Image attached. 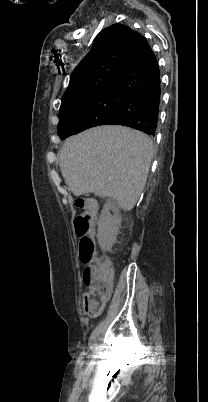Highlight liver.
Instances as JSON below:
<instances>
[{
    "label": "liver",
    "mask_w": 208,
    "mask_h": 402,
    "mask_svg": "<svg viewBox=\"0 0 208 402\" xmlns=\"http://www.w3.org/2000/svg\"><path fill=\"white\" fill-rule=\"evenodd\" d=\"M60 170L74 196L113 198L122 210L134 208L147 182L153 156L150 138L123 126H98L65 140Z\"/></svg>",
    "instance_id": "1"
}]
</instances>
